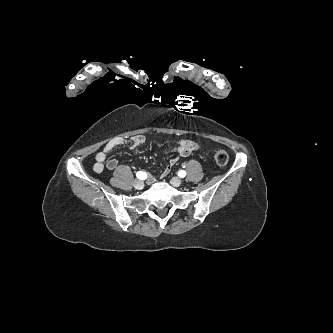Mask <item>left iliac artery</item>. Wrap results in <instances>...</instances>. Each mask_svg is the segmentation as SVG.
I'll return each mask as SVG.
<instances>
[{"instance_id":"obj_1","label":"left iliac artery","mask_w":333,"mask_h":333,"mask_svg":"<svg viewBox=\"0 0 333 333\" xmlns=\"http://www.w3.org/2000/svg\"><path fill=\"white\" fill-rule=\"evenodd\" d=\"M178 176L181 177V178H183V177L186 176V172H185L184 170H180V171L178 172Z\"/></svg>"}]
</instances>
